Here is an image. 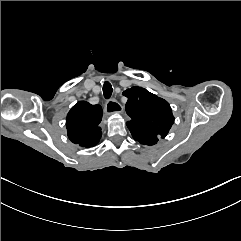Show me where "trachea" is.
<instances>
[{
  "mask_svg": "<svg viewBox=\"0 0 241 241\" xmlns=\"http://www.w3.org/2000/svg\"><path fill=\"white\" fill-rule=\"evenodd\" d=\"M113 89L111 84L108 81H105L103 84V94L105 98H110L112 95Z\"/></svg>",
  "mask_w": 241,
  "mask_h": 241,
  "instance_id": "3493384b",
  "label": "trachea"
}]
</instances>
